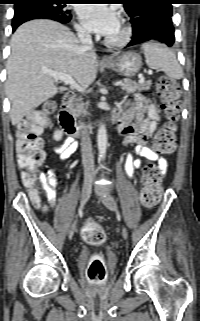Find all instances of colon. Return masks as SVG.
<instances>
[{
	"label": "colon",
	"instance_id": "colon-1",
	"mask_svg": "<svg viewBox=\"0 0 200 321\" xmlns=\"http://www.w3.org/2000/svg\"><path fill=\"white\" fill-rule=\"evenodd\" d=\"M157 97L162 103L166 122L154 137L153 147L159 154L172 153L177 144L176 122L180 115V87L168 77H161L156 88ZM55 111L53 102H45L23 121L17 132L16 152L19 168L22 170V182L31 190L30 195L36 205H40L39 192L35 188L37 171L44 160L43 141L40 134L49 123V117ZM143 188L140 199L146 208L154 207L162 194V171L154 164H147L142 175ZM82 238L91 245H100L105 241V232L96 222L88 220L81 230ZM105 266L101 259H93L88 266L87 275L91 282L100 284L105 279Z\"/></svg>",
	"mask_w": 200,
	"mask_h": 321
}]
</instances>
